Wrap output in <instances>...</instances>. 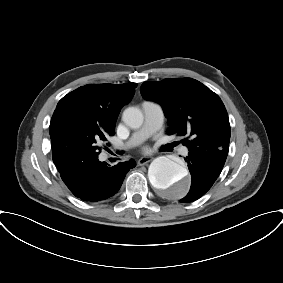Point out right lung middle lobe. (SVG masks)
Segmentation results:
<instances>
[{
  "mask_svg": "<svg viewBox=\"0 0 283 283\" xmlns=\"http://www.w3.org/2000/svg\"><path fill=\"white\" fill-rule=\"evenodd\" d=\"M64 133V145L59 156V161L64 164L87 153L99 154V145L107 140L108 135H114V132L103 129L94 121L74 116H69L65 122Z\"/></svg>",
  "mask_w": 283,
  "mask_h": 283,
  "instance_id": "1",
  "label": "right lung middle lobe"
}]
</instances>
